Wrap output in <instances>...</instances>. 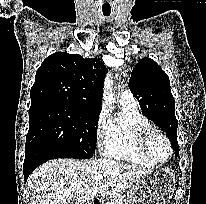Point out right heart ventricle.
<instances>
[{"mask_svg": "<svg viewBox=\"0 0 206 204\" xmlns=\"http://www.w3.org/2000/svg\"><path fill=\"white\" fill-rule=\"evenodd\" d=\"M120 113L108 119L106 136L101 148L105 157L133 165L152 167L153 164L140 151L138 137L151 127L136 105L120 102Z\"/></svg>", "mask_w": 206, "mask_h": 204, "instance_id": "e07e8e85", "label": "right heart ventricle"}]
</instances>
